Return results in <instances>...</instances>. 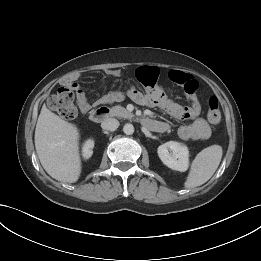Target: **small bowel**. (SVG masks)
I'll use <instances>...</instances> for the list:
<instances>
[{
  "mask_svg": "<svg viewBox=\"0 0 261 261\" xmlns=\"http://www.w3.org/2000/svg\"><path fill=\"white\" fill-rule=\"evenodd\" d=\"M105 73L108 76L116 77L119 76L121 72L118 69H109ZM136 74L141 82L146 85H152L159 76V70L156 67L144 66L140 67ZM168 77L171 81L181 85L184 88L187 100L189 102L188 106H182L170 100L159 88H154L149 92L143 93L137 88L131 87L127 91V96L139 104L157 106L162 111L177 120L189 121L188 123L182 124L178 129V135L181 139L194 141L208 139L211 135V128L207 121L200 116L201 105L197 97V81L191 74L178 70H171L168 73ZM65 83L69 84L76 92L77 103L81 111H89L91 105L84 90L81 89V87L76 83L75 79L67 80ZM124 98L125 94L122 91L115 90L104 94L98 102L114 103L120 102ZM162 124L165 126V130H167L168 126L165 123Z\"/></svg>",
  "mask_w": 261,
  "mask_h": 261,
  "instance_id": "small-bowel-1",
  "label": "small bowel"
}]
</instances>
